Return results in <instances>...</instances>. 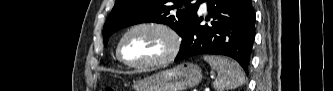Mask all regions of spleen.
<instances>
[{"label":"spleen","mask_w":333,"mask_h":91,"mask_svg":"<svg viewBox=\"0 0 333 91\" xmlns=\"http://www.w3.org/2000/svg\"><path fill=\"white\" fill-rule=\"evenodd\" d=\"M204 60L217 71V78L213 82L216 91H228L245 83L243 70L236 62L212 55H205Z\"/></svg>","instance_id":"3e777b00"}]
</instances>
